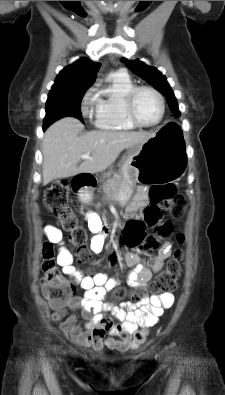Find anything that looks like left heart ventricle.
Here are the masks:
<instances>
[{
	"label": "left heart ventricle",
	"instance_id": "1",
	"mask_svg": "<svg viewBox=\"0 0 225 395\" xmlns=\"http://www.w3.org/2000/svg\"><path fill=\"white\" fill-rule=\"evenodd\" d=\"M135 113L141 122L155 123L160 116L158 99L148 91L140 92L135 100Z\"/></svg>",
	"mask_w": 225,
	"mask_h": 395
}]
</instances>
